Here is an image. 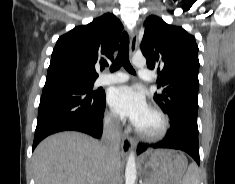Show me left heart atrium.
I'll return each mask as SVG.
<instances>
[{
	"label": "left heart atrium",
	"instance_id": "1",
	"mask_svg": "<svg viewBox=\"0 0 235 184\" xmlns=\"http://www.w3.org/2000/svg\"><path fill=\"white\" fill-rule=\"evenodd\" d=\"M107 102L115 118H127L136 128L150 110L143 95L129 87L111 89L107 95Z\"/></svg>",
	"mask_w": 235,
	"mask_h": 184
}]
</instances>
